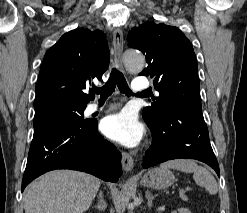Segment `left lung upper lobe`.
<instances>
[{
  "mask_svg": "<svg viewBox=\"0 0 247 213\" xmlns=\"http://www.w3.org/2000/svg\"><path fill=\"white\" fill-rule=\"evenodd\" d=\"M128 46L146 55L148 67L141 75H150L159 96L143 109L149 127L158 124L173 101L202 111L196 56L190 41L180 29L153 22L135 27L127 37Z\"/></svg>",
  "mask_w": 247,
  "mask_h": 213,
  "instance_id": "5c2ea615",
  "label": "left lung upper lobe"
}]
</instances>
